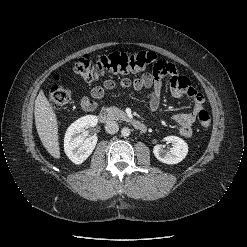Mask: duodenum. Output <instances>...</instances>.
I'll return each mask as SVG.
<instances>
[{
  "label": "duodenum",
  "instance_id": "1",
  "mask_svg": "<svg viewBox=\"0 0 247 247\" xmlns=\"http://www.w3.org/2000/svg\"><path fill=\"white\" fill-rule=\"evenodd\" d=\"M98 119L102 123L109 122L111 120L110 111L108 109H102L98 115ZM132 124H133L135 129H137L141 132H144L147 129L146 125L141 121L135 120L132 122Z\"/></svg>",
  "mask_w": 247,
  "mask_h": 247
}]
</instances>
